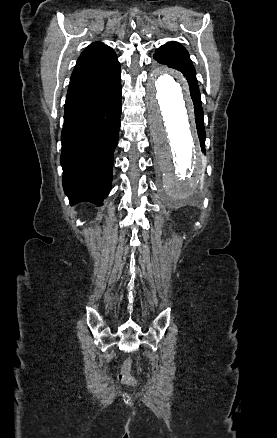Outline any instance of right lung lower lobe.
Segmentation results:
<instances>
[{
	"mask_svg": "<svg viewBox=\"0 0 277 438\" xmlns=\"http://www.w3.org/2000/svg\"><path fill=\"white\" fill-rule=\"evenodd\" d=\"M121 93L120 68L67 93L60 160L63 188L72 205H101L111 189Z\"/></svg>",
	"mask_w": 277,
	"mask_h": 438,
	"instance_id": "right-lung-lower-lobe-1",
	"label": "right lung lower lobe"
}]
</instances>
